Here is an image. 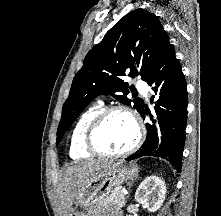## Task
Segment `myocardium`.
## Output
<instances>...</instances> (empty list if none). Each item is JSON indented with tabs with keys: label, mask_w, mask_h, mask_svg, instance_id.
Masks as SVG:
<instances>
[{
	"label": "myocardium",
	"mask_w": 221,
	"mask_h": 216,
	"mask_svg": "<svg viewBox=\"0 0 221 216\" xmlns=\"http://www.w3.org/2000/svg\"><path fill=\"white\" fill-rule=\"evenodd\" d=\"M117 112L125 113L128 117H130V119L135 125L136 137L134 142L127 149L121 152L111 153L104 151L96 144L95 135L101 124L105 121V119L111 114ZM144 133V126L138 114H136L131 108H129L126 105H114L102 109L100 113L89 123L84 134V146L87 149V151L97 156L109 158L124 157L134 152L141 145L144 138Z\"/></svg>",
	"instance_id": "myocardium-1"
}]
</instances>
